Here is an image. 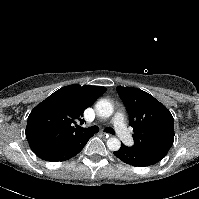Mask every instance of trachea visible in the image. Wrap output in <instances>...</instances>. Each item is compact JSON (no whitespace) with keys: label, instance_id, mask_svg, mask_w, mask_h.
I'll use <instances>...</instances> for the list:
<instances>
[{"label":"trachea","instance_id":"obj_1","mask_svg":"<svg viewBox=\"0 0 199 199\" xmlns=\"http://www.w3.org/2000/svg\"><path fill=\"white\" fill-rule=\"evenodd\" d=\"M79 130L83 131L85 133L93 134V133H97L99 131V128H98V126H92V127H88V128L80 127ZM104 131L107 133L113 134V135L115 134V131L110 127L105 128Z\"/></svg>","mask_w":199,"mask_h":199}]
</instances>
